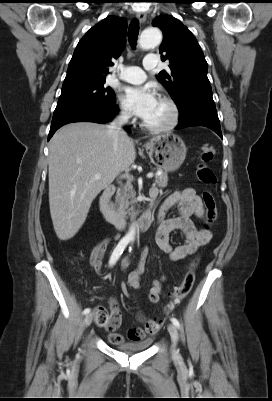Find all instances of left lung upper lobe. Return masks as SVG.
Masks as SVG:
<instances>
[{"label": "left lung upper lobe", "instance_id": "left-lung-upper-lobe-1", "mask_svg": "<svg viewBox=\"0 0 272 401\" xmlns=\"http://www.w3.org/2000/svg\"><path fill=\"white\" fill-rule=\"evenodd\" d=\"M153 26L163 32L162 61L171 72L161 71L157 78L175 101L179 111L193 103H214L207 77L208 65L194 35L181 21L170 15L156 17Z\"/></svg>", "mask_w": 272, "mask_h": 401}]
</instances>
